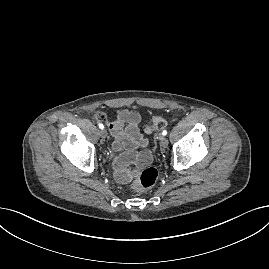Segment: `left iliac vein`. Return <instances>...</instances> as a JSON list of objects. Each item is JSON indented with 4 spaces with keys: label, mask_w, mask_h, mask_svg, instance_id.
<instances>
[{
    "label": "left iliac vein",
    "mask_w": 269,
    "mask_h": 269,
    "mask_svg": "<svg viewBox=\"0 0 269 269\" xmlns=\"http://www.w3.org/2000/svg\"><path fill=\"white\" fill-rule=\"evenodd\" d=\"M159 140H160L161 147L162 148H167V146H168V139L164 135H161L159 137Z\"/></svg>",
    "instance_id": "left-iliac-vein-1"
}]
</instances>
